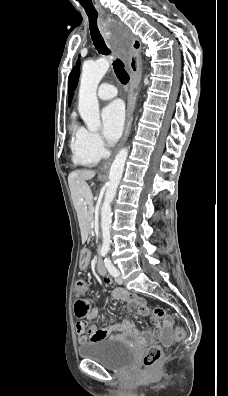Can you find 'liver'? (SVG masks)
Here are the masks:
<instances>
[{
	"instance_id": "1",
	"label": "liver",
	"mask_w": 228,
	"mask_h": 396,
	"mask_svg": "<svg viewBox=\"0 0 228 396\" xmlns=\"http://www.w3.org/2000/svg\"><path fill=\"white\" fill-rule=\"evenodd\" d=\"M94 176L95 171L93 170H76L68 176V184L79 219L83 241L86 239L88 222L91 221L93 212V194L86 181Z\"/></svg>"
}]
</instances>
